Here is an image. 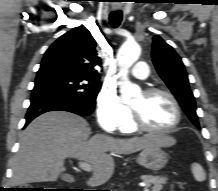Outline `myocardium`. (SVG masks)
I'll return each instance as SVG.
<instances>
[{"label":"myocardium","mask_w":218,"mask_h":191,"mask_svg":"<svg viewBox=\"0 0 218 191\" xmlns=\"http://www.w3.org/2000/svg\"><path fill=\"white\" fill-rule=\"evenodd\" d=\"M143 94L147 97H151L154 95H163L167 97L175 109L176 118L174 123L167 128H161V129L152 128L146 125L145 122L142 120L141 116L133 108H131V122L134 129L142 132L152 133V134H165L174 131L182 121V109L179 102L174 97V95L167 90L156 88V87H150L145 89Z\"/></svg>","instance_id":"f54148a6"}]
</instances>
